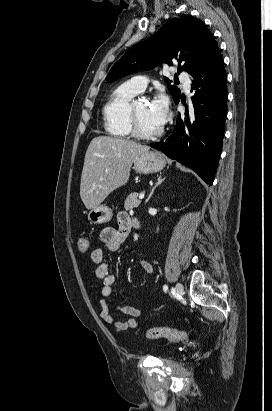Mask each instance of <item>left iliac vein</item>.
<instances>
[{"mask_svg": "<svg viewBox=\"0 0 272 411\" xmlns=\"http://www.w3.org/2000/svg\"><path fill=\"white\" fill-rule=\"evenodd\" d=\"M175 293H176L178 296H182L183 293H184L183 285H182L180 282H178V283L176 284V286H175Z\"/></svg>", "mask_w": 272, "mask_h": 411, "instance_id": "left-iliac-vein-1", "label": "left iliac vein"}]
</instances>
